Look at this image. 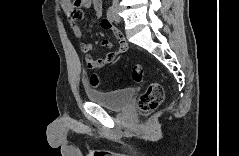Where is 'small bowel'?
Here are the masks:
<instances>
[{"mask_svg": "<svg viewBox=\"0 0 239 156\" xmlns=\"http://www.w3.org/2000/svg\"><path fill=\"white\" fill-rule=\"evenodd\" d=\"M61 6L67 16L68 22L74 35L78 38L82 36V31L78 26L77 21L83 17L84 10H93L95 12V17L91 19L92 24H96L98 22L102 13V4L99 0H62ZM100 25L103 29L113 31L119 44V50L113 51L112 41L103 40L102 46L105 48L106 53L99 59L89 57L86 61V64L90 69L104 67L111 63L117 55L125 53L128 50L127 41L122 36L121 32L113 26L112 22L108 18L101 20ZM91 48L92 45L90 42L84 41L81 43V50L83 52L87 53L91 50Z\"/></svg>", "mask_w": 239, "mask_h": 156, "instance_id": "c3829d8e", "label": "small bowel"}]
</instances>
